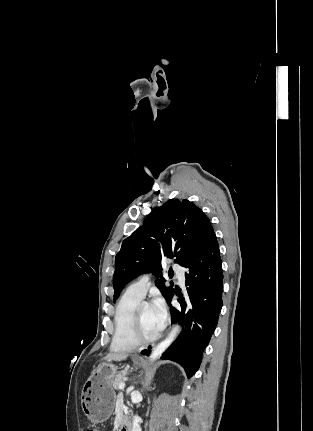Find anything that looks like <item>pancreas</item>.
<instances>
[{"instance_id":"cf45deb5","label":"pancreas","mask_w":313,"mask_h":431,"mask_svg":"<svg viewBox=\"0 0 313 431\" xmlns=\"http://www.w3.org/2000/svg\"><path fill=\"white\" fill-rule=\"evenodd\" d=\"M126 377V372L117 374L112 380V385L115 390H119V384L123 383Z\"/></svg>"}]
</instances>
